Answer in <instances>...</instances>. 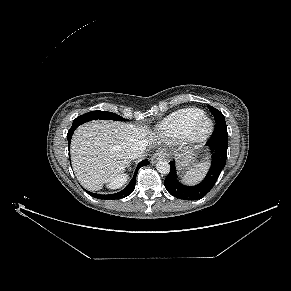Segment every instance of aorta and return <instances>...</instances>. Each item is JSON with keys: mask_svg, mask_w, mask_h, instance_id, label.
<instances>
[{"mask_svg": "<svg viewBox=\"0 0 291 291\" xmlns=\"http://www.w3.org/2000/svg\"><path fill=\"white\" fill-rule=\"evenodd\" d=\"M156 169L161 174H168L170 172V164L166 160H160L156 164Z\"/></svg>", "mask_w": 291, "mask_h": 291, "instance_id": "762f6f07", "label": "aorta"}]
</instances>
